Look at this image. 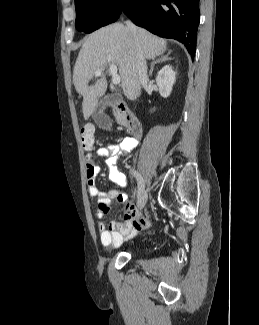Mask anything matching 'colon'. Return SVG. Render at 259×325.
I'll return each instance as SVG.
<instances>
[{
	"mask_svg": "<svg viewBox=\"0 0 259 325\" xmlns=\"http://www.w3.org/2000/svg\"><path fill=\"white\" fill-rule=\"evenodd\" d=\"M80 139L84 150L90 151L94 146V128L92 125H84L80 129Z\"/></svg>",
	"mask_w": 259,
	"mask_h": 325,
	"instance_id": "obj_1",
	"label": "colon"
}]
</instances>
